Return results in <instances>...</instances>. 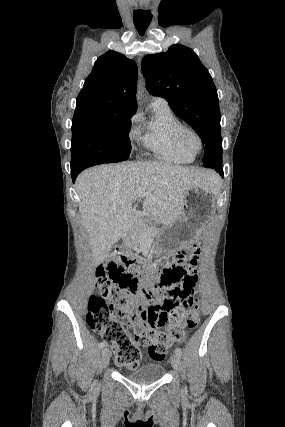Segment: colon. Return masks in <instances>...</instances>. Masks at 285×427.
<instances>
[{
    "instance_id": "obj_1",
    "label": "colon",
    "mask_w": 285,
    "mask_h": 427,
    "mask_svg": "<svg viewBox=\"0 0 285 427\" xmlns=\"http://www.w3.org/2000/svg\"><path fill=\"white\" fill-rule=\"evenodd\" d=\"M192 253V249L177 252L173 264L161 271L148 269L121 253L114 255L107 269H96L98 294L88 297L86 322L113 348L118 364L135 369L142 360V350L151 359L161 361L173 342L182 341L186 330L195 328L198 300L188 294V289L197 276L182 266ZM165 292L178 298L169 304L163 316L165 325L158 330L148 324L147 312Z\"/></svg>"
}]
</instances>
